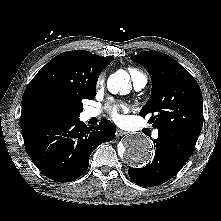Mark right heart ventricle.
Returning a JSON list of instances; mask_svg holds the SVG:
<instances>
[{
    "instance_id": "e07e8e85",
    "label": "right heart ventricle",
    "mask_w": 221,
    "mask_h": 221,
    "mask_svg": "<svg viewBox=\"0 0 221 221\" xmlns=\"http://www.w3.org/2000/svg\"><path fill=\"white\" fill-rule=\"evenodd\" d=\"M129 73L132 77V79L134 80L136 76H141L143 75L139 70L135 69V68H130L129 69Z\"/></svg>"
}]
</instances>
